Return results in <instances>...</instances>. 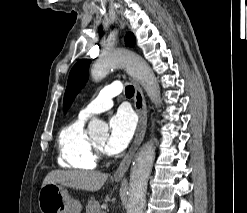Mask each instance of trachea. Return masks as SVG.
<instances>
[{
	"label": "trachea",
	"instance_id": "3493384b",
	"mask_svg": "<svg viewBox=\"0 0 247 213\" xmlns=\"http://www.w3.org/2000/svg\"><path fill=\"white\" fill-rule=\"evenodd\" d=\"M125 94L127 96H133L134 95V87L131 85L126 86L125 88Z\"/></svg>",
	"mask_w": 247,
	"mask_h": 213
}]
</instances>
